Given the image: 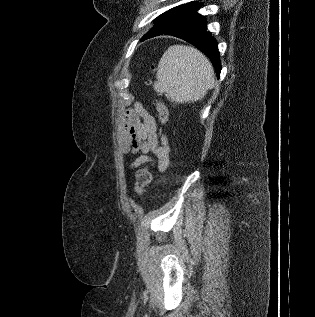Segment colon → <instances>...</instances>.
Here are the masks:
<instances>
[{
  "label": "colon",
  "mask_w": 315,
  "mask_h": 317,
  "mask_svg": "<svg viewBox=\"0 0 315 317\" xmlns=\"http://www.w3.org/2000/svg\"><path fill=\"white\" fill-rule=\"evenodd\" d=\"M155 67L152 66L154 72ZM157 111L161 124L165 125L168 121L169 113L166 104L162 100L157 101ZM152 173L148 166L140 168L136 173L135 193L137 196L142 197L145 193L147 186L152 181Z\"/></svg>",
  "instance_id": "1"
}]
</instances>
